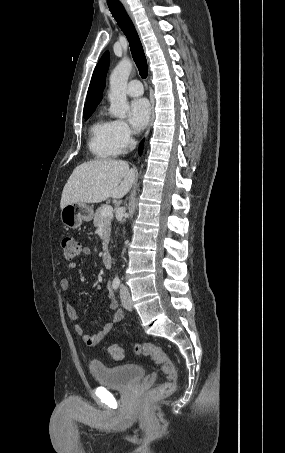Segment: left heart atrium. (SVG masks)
I'll use <instances>...</instances> for the list:
<instances>
[{"label":"left heart atrium","instance_id":"left-heart-atrium-1","mask_svg":"<svg viewBox=\"0 0 285 453\" xmlns=\"http://www.w3.org/2000/svg\"><path fill=\"white\" fill-rule=\"evenodd\" d=\"M151 109L148 101L138 98L129 105V121L136 131L142 130L149 121Z\"/></svg>","mask_w":285,"mask_h":453}]
</instances>
